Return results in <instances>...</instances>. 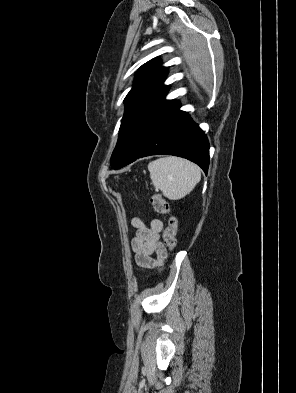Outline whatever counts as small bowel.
<instances>
[{
	"mask_svg": "<svg viewBox=\"0 0 296 393\" xmlns=\"http://www.w3.org/2000/svg\"><path fill=\"white\" fill-rule=\"evenodd\" d=\"M132 225L136 229L135 236L131 241L136 264L141 269L156 267L167 255L160 241L163 222L158 218H153L147 224L141 218L134 217ZM153 254H156V258L153 257Z\"/></svg>",
	"mask_w": 296,
	"mask_h": 393,
	"instance_id": "1",
	"label": "small bowel"
}]
</instances>
